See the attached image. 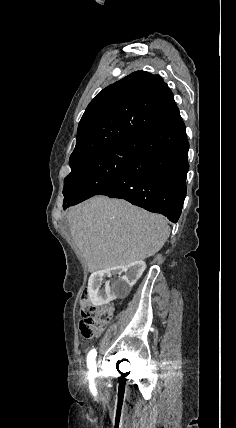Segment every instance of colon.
I'll use <instances>...</instances> for the list:
<instances>
[{"label": "colon", "mask_w": 236, "mask_h": 428, "mask_svg": "<svg viewBox=\"0 0 236 428\" xmlns=\"http://www.w3.org/2000/svg\"><path fill=\"white\" fill-rule=\"evenodd\" d=\"M80 310L83 319L80 322V334L84 339L98 337L111 321L115 306L112 304L97 307L89 301V293L84 289L80 297Z\"/></svg>", "instance_id": "1"}]
</instances>
